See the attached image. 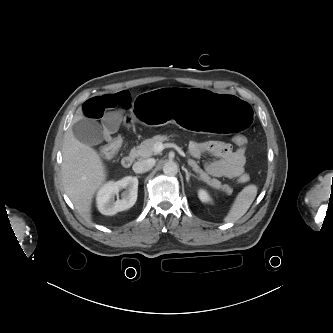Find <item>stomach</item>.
<instances>
[{"instance_id":"1","label":"stomach","mask_w":333,"mask_h":333,"mask_svg":"<svg viewBox=\"0 0 333 333\" xmlns=\"http://www.w3.org/2000/svg\"><path fill=\"white\" fill-rule=\"evenodd\" d=\"M133 120L148 126L172 122L182 129L207 134L237 135L254 120L251 105L237 97L193 91L186 86L139 94L133 101Z\"/></svg>"}]
</instances>
